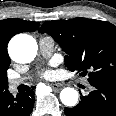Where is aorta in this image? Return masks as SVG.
Segmentation results:
<instances>
[{"label": "aorta", "mask_w": 116, "mask_h": 116, "mask_svg": "<svg viewBox=\"0 0 116 116\" xmlns=\"http://www.w3.org/2000/svg\"><path fill=\"white\" fill-rule=\"evenodd\" d=\"M37 43L27 34L16 35L9 43L11 58L19 63H28L35 57ZM61 102L67 107H73L78 102V92L73 88H64L60 93Z\"/></svg>", "instance_id": "762f6f07"}]
</instances>
